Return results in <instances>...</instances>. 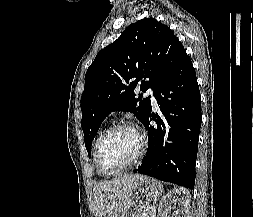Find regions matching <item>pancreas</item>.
<instances>
[{"label":"pancreas","instance_id":"cf45deb5","mask_svg":"<svg viewBox=\"0 0 253 217\" xmlns=\"http://www.w3.org/2000/svg\"><path fill=\"white\" fill-rule=\"evenodd\" d=\"M150 207H146L144 210L141 211L136 217H155V211H150Z\"/></svg>","mask_w":253,"mask_h":217}]
</instances>
